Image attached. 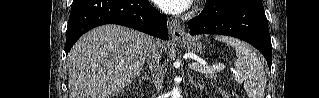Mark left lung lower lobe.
Listing matches in <instances>:
<instances>
[{
	"mask_svg": "<svg viewBox=\"0 0 319 98\" xmlns=\"http://www.w3.org/2000/svg\"><path fill=\"white\" fill-rule=\"evenodd\" d=\"M191 35L222 34L242 39L272 63L268 22L261 0L206 1L199 16L188 22Z\"/></svg>",
	"mask_w": 319,
	"mask_h": 98,
	"instance_id": "left-lung-lower-lobe-1",
	"label": "left lung lower lobe"
}]
</instances>
